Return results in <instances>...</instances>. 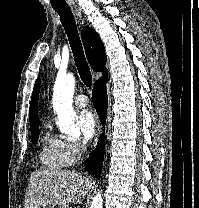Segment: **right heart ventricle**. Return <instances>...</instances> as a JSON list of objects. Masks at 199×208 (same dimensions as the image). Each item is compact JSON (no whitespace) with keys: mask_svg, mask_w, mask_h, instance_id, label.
Instances as JSON below:
<instances>
[{"mask_svg":"<svg viewBox=\"0 0 199 208\" xmlns=\"http://www.w3.org/2000/svg\"><path fill=\"white\" fill-rule=\"evenodd\" d=\"M63 143L64 141L52 135L49 131L45 132L40 152V161L45 167L49 169H62L67 165Z\"/></svg>","mask_w":199,"mask_h":208,"instance_id":"1","label":"right heart ventricle"}]
</instances>
